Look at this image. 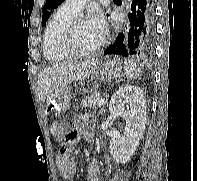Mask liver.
I'll use <instances>...</instances> for the list:
<instances>
[{"label":"liver","instance_id":"6515ba94","mask_svg":"<svg viewBox=\"0 0 197 181\" xmlns=\"http://www.w3.org/2000/svg\"><path fill=\"white\" fill-rule=\"evenodd\" d=\"M95 61L63 62L43 69L38 77L39 99L45 101L59 86L83 80L93 73Z\"/></svg>","mask_w":197,"mask_h":181}]
</instances>
